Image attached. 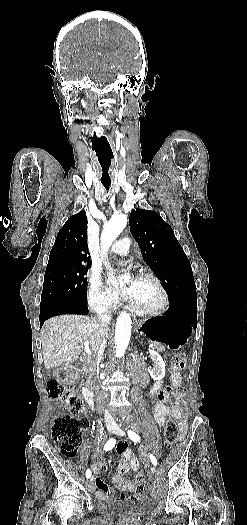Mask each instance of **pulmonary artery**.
Here are the masks:
<instances>
[{"instance_id":"1","label":"pulmonary artery","mask_w":247,"mask_h":525,"mask_svg":"<svg viewBox=\"0 0 247 525\" xmlns=\"http://www.w3.org/2000/svg\"><path fill=\"white\" fill-rule=\"evenodd\" d=\"M133 243V238L131 236H121L118 240L114 242L111 247L112 254L114 256L125 255L129 252ZM107 260H110V257H107Z\"/></svg>"}]
</instances>
